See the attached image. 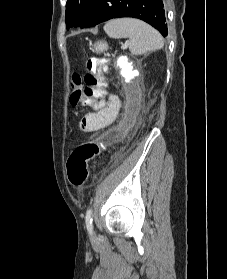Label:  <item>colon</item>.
Segmentation results:
<instances>
[{
	"label": "colon",
	"instance_id": "colon-1",
	"mask_svg": "<svg viewBox=\"0 0 227 279\" xmlns=\"http://www.w3.org/2000/svg\"><path fill=\"white\" fill-rule=\"evenodd\" d=\"M75 91L70 96L72 105L87 106L93 100L104 95L106 78L103 64L100 58L92 57L87 61V73L82 78L78 74L73 75ZM103 141H91L77 146L67 162V173L70 183L75 187H82L88 178V162L99 156L104 150Z\"/></svg>",
	"mask_w": 227,
	"mask_h": 279
}]
</instances>
